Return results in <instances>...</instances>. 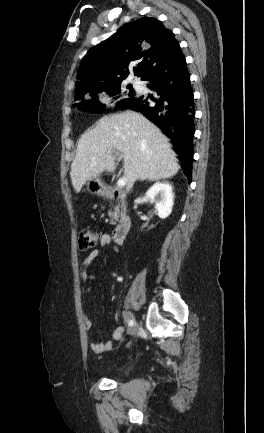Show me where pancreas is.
Returning <instances> with one entry per match:
<instances>
[{"label":"pancreas","instance_id":"1","mask_svg":"<svg viewBox=\"0 0 264 433\" xmlns=\"http://www.w3.org/2000/svg\"><path fill=\"white\" fill-rule=\"evenodd\" d=\"M126 212V204L125 201L122 200L121 203L117 204L114 207V210L111 211L109 210L108 215L111 218V223H113L114 221H118L119 216H123Z\"/></svg>","mask_w":264,"mask_h":433}]
</instances>
